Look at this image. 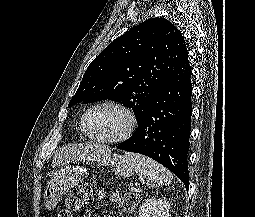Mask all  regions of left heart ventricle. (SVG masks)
<instances>
[{
    "label": "left heart ventricle",
    "mask_w": 255,
    "mask_h": 217,
    "mask_svg": "<svg viewBox=\"0 0 255 217\" xmlns=\"http://www.w3.org/2000/svg\"><path fill=\"white\" fill-rule=\"evenodd\" d=\"M126 117L119 110L103 106L92 110L86 119V127L93 135L112 138L122 132Z\"/></svg>",
    "instance_id": "b2bd125f"
}]
</instances>
